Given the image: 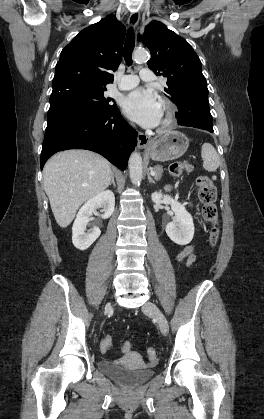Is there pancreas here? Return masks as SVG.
<instances>
[{
    "label": "pancreas",
    "instance_id": "obj_1",
    "mask_svg": "<svg viewBox=\"0 0 264 419\" xmlns=\"http://www.w3.org/2000/svg\"><path fill=\"white\" fill-rule=\"evenodd\" d=\"M153 170L155 171V179L160 180L162 177L163 168L161 166H156Z\"/></svg>",
    "mask_w": 264,
    "mask_h": 419
}]
</instances>
